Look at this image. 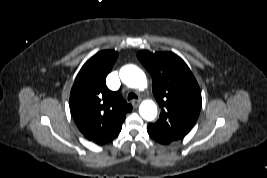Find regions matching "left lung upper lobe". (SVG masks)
I'll return each mask as SVG.
<instances>
[{"mask_svg": "<svg viewBox=\"0 0 267 178\" xmlns=\"http://www.w3.org/2000/svg\"><path fill=\"white\" fill-rule=\"evenodd\" d=\"M137 57L153 79V94L161 108L147 129L169 144L184 138L195 125L202 105L198 83L186 63L172 52L141 51Z\"/></svg>", "mask_w": 267, "mask_h": 178, "instance_id": "left-lung-upper-lobe-1", "label": "left lung upper lobe"}]
</instances>
